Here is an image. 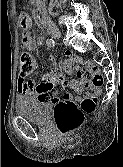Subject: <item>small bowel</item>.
I'll use <instances>...</instances> for the list:
<instances>
[{"mask_svg": "<svg viewBox=\"0 0 123 167\" xmlns=\"http://www.w3.org/2000/svg\"><path fill=\"white\" fill-rule=\"evenodd\" d=\"M22 25L26 28V31L22 37V46L28 51H33V38L29 30L30 23L26 19L22 20ZM51 67L48 73L44 76L43 81L40 84H36L34 81L25 80L19 78L18 80V92L22 95L31 96L37 100L49 101L52 103H58L59 98L55 94V88L57 85H61L63 88H70L77 94L82 93L85 89L91 88L93 95H98L100 89L93 87L85 79H73L67 81L61 74L59 68L56 65L55 59L50 57ZM76 97L66 94L64 96L65 101H73Z\"/></svg>", "mask_w": 123, "mask_h": 167, "instance_id": "c3829d8e", "label": "small bowel"}]
</instances>
